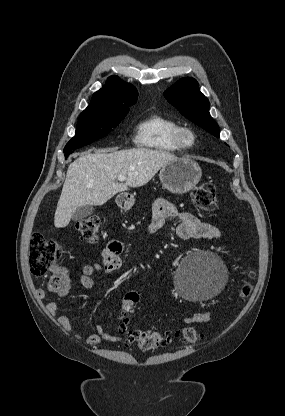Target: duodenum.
Returning a JSON list of instances; mask_svg holds the SVG:
<instances>
[{"label": "duodenum", "mask_w": 285, "mask_h": 416, "mask_svg": "<svg viewBox=\"0 0 285 416\" xmlns=\"http://www.w3.org/2000/svg\"><path fill=\"white\" fill-rule=\"evenodd\" d=\"M131 203L130 193H119L116 204L117 206H128Z\"/></svg>", "instance_id": "obj_1"}]
</instances>
